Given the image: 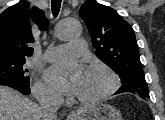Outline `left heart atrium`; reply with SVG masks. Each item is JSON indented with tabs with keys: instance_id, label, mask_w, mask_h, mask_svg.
<instances>
[{
	"instance_id": "1",
	"label": "left heart atrium",
	"mask_w": 165,
	"mask_h": 120,
	"mask_svg": "<svg viewBox=\"0 0 165 120\" xmlns=\"http://www.w3.org/2000/svg\"><path fill=\"white\" fill-rule=\"evenodd\" d=\"M86 70L79 64L69 63L52 67L47 72L48 81L60 91L76 94Z\"/></svg>"
}]
</instances>
